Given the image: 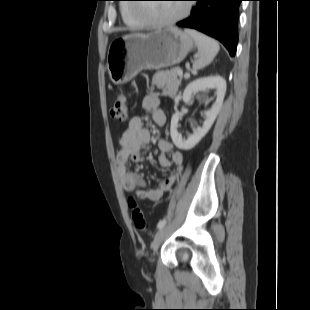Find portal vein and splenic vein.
Here are the masks:
<instances>
[{
	"instance_id": "1",
	"label": "portal vein and splenic vein",
	"mask_w": 310,
	"mask_h": 310,
	"mask_svg": "<svg viewBox=\"0 0 310 310\" xmlns=\"http://www.w3.org/2000/svg\"><path fill=\"white\" fill-rule=\"evenodd\" d=\"M177 74H178L179 76H182V75H183V71H182L181 69H178ZM186 76L189 77L190 74L187 73Z\"/></svg>"
}]
</instances>
